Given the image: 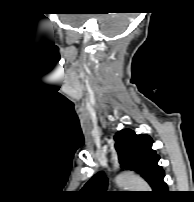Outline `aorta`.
Returning a JSON list of instances; mask_svg holds the SVG:
<instances>
[{
    "mask_svg": "<svg viewBox=\"0 0 194 202\" xmlns=\"http://www.w3.org/2000/svg\"><path fill=\"white\" fill-rule=\"evenodd\" d=\"M115 182L119 187H127L134 191H150L146 182L131 175L121 174L116 177Z\"/></svg>",
    "mask_w": 194,
    "mask_h": 202,
    "instance_id": "1",
    "label": "aorta"
}]
</instances>
